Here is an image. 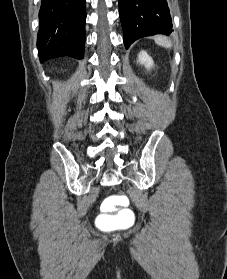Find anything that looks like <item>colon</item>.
Instances as JSON below:
<instances>
[{"mask_svg":"<svg viewBox=\"0 0 227 279\" xmlns=\"http://www.w3.org/2000/svg\"><path fill=\"white\" fill-rule=\"evenodd\" d=\"M112 201L118 205L115 211L105 212L100 217L102 228L108 230L121 226L129 217V209L124 207L129 201V196L126 193H116L112 195Z\"/></svg>","mask_w":227,"mask_h":279,"instance_id":"colon-1","label":"colon"}]
</instances>
